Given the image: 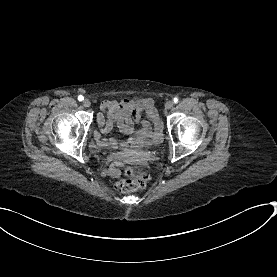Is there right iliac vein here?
<instances>
[{"label": "right iliac vein", "instance_id": "63e3f726", "mask_svg": "<svg viewBox=\"0 0 277 277\" xmlns=\"http://www.w3.org/2000/svg\"><path fill=\"white\" fill-rule=\"evenodd\" d=\"M90 105H91V102H90L88 99H85V100L83 101V106H84V107L88 108V107H90Z\"/></svg>", "mask_w": 277, "mask_h": 277}]
</instances>
